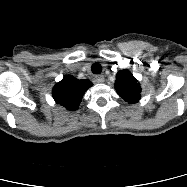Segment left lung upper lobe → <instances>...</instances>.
I'll list each match as a JSON object with an SVG mask.
<instances>
[{
	"label": "left lung upper lobe",
	"instance_id": "obj_1",
	"mask_svg": "<svg viewBox=\"0 0 187 187\" xmlns=\"http://www.w3.org/2000/svg\"><path fill=\"white\" fill-rule=\"evenodd\" d=\"M115 89L118 95L129 104L138 102L141 97V87L128 69L117 73Z\"/></svg>",
	"mask_w": 187,
	"mask_h": 187
}]
</instances>
